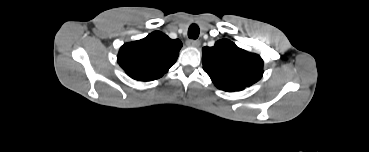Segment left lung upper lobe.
I'll list each match as a JSON object with an SVG mask.
<instances>
[{"instance_id":"left-lung-upper-lobe-1","label":"left lung upper lobe","mask_w":369,"mask_h":152,"mask_svg":"<svg viewBox=\"0 0 369 152\" xmlns=\"http://www.w3.org/2000/svg\"><path fill=\"white\" fill-rule=\"evenodd\" d=\"M202 63L215 86L227 92L241 91L263 75L261 57L228 39L217 41L213 47H204Z\"/></svg>"}]
</instances>
